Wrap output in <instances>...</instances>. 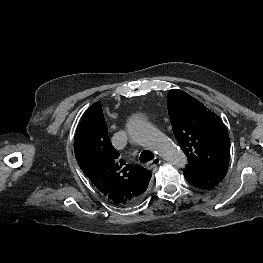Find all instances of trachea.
Listing matches in <instances>:
<instances>
[{
    "label": "trachea",
    "mask_w": 263,
    "mask_h": 263,
    "mask_svg": "<svg viewBox=\"0 0 263 263\" xmlns=\"http://www.w3.org/2000/svg\"><path fill=\"white\" fill-rule=\"evenodd\" d=\"M154 158V154L151 151L144 150L140 154V162L141 163H146Z\"/></svg>",
    "instance_id": "1"
}]
</instances>
